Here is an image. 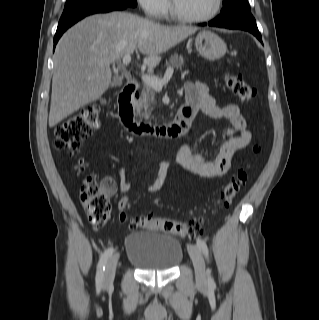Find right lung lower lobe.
<instances>
[{"instance_id":"1","label":"right lung lower lobe","mask_w":319,"mask_h":320,"mask_svg":"<svg viewBox=\"0 0 319 320\" xmlns=\"http://www.w3.org/2000/svg\"><path fill=\"white\" fill-rule=\"evenodd\" d=\"M129 7L128 5L125 4H109V5H101V6H96L93 8H90L88 10H85L83 12H80L71 18L59 22L56 34L54 36V49L55 45L57 44L59 38L61 35L73 24H75L77 21L81 20L82 18L94 14V13H105V12H110V11H115V10H123L125 8Z\"/></svg>"}]
</instances>
